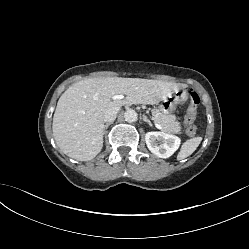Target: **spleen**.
I'll use <instances>...</instances> for the list:
<instances>
[{
    "mask_svg": "<svg viewBox=\"0 0 249 249\" xmlns=\"http://www.w3.org/2000/svg\"><path fill=\"white\" fill-rule=\"evenodd\" d=\"M202 137L197 136L191 139H188L181 147L180 152L178 153L177 160H182L190 156L199 146Z\"/></svg>",
    "mask_w": 249,
    "mask_h": 249,
    "instance_id": "spleen-1",
    "label": "spleen"
}]
</instances>
